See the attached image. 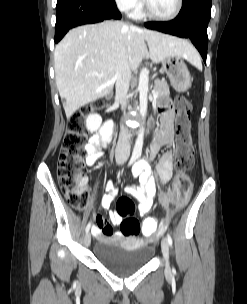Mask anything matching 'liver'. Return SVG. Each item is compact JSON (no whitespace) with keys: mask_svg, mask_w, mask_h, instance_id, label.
<instances>
[{"mask_svg":"<svg viewBox=\"0 0 247 304\" xmlns=\"http://www.w3.org/2000/svg\"><path fill=\"white\" fill-rule=\"evenodd\" d=\"M122 48L127 51L132 71L137 70L144 58L160 63L170 56L183 57L190 62L198 57L186 40L123 22L104 21L76 27L54 51L55 80L60 97L65 100L67 118L112 91Z\"/></svg>","mask_w":247,"mask_h":304,"instance_id":"6515ba94","label":"liver"}]
</instances>
